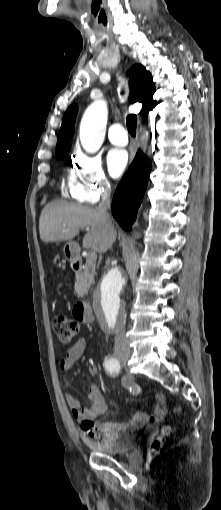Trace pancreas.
Segmentation results:
<instances>
[{
  "label": "pancreas",
  "instance_id": "pancreas-1",
  "mask_svg": "<svg viewBox=\"0 0 221 510\" xmlns=\"http://www.w3.org/2000/svg\"><path fill=\"white\" fill-rule=\"evenodd\" d=\"M95 273V264L86 263L84 271L76 275L75 292L78 296H84L88 293L90 285L93 283Z\"/></svg>",
  "mask_w": 221,
  "mask_h": 510
}]
</instances>
